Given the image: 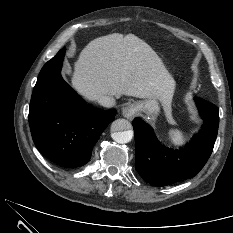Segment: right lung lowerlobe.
<instances>
[{"label": "right lung lower lobe", "mask_w": 233, "mask_h": 233, "mask_svg": "<svg viewBox=\"0 0 233 233\" xmlns=\"http://www.w3.org/2000/svg\"><path fill=\"white\" fill-rule=\"evenodd\" d=\"M65 48L42 68L34 87L29 124L37 149L65 168L86 164L115 109L100 110L80 98L60 74Z\"/></svg>", "instance_id": "right-lung-lower-lobe-1"}]
</instances>
